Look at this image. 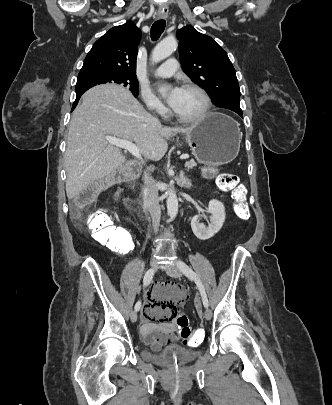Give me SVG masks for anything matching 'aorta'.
Wrapping results in <instances>:
<instances>
[{"instance_id": "obj_1", "label": "aorta", "mask_w": 332, "mask_h": 405, "mask_svg": "<svg viewBox=\"0 0 332 405\" xmlns=\"http://www.w3.org/2000/svg\"><path fill=\"white\" fill-rule=\"evenodd\" d=\"M177 46L178 44L174 37H165L152 51L151 59L153 63L160 62L169 57L177 49ZM167 212L171 218H175L178 214V200L173 190L167 192Z\"/></svg>"}]
</instances>
